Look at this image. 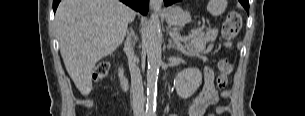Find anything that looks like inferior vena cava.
I'll return each mask as SVG.
<instances>
[{
    "label": "inferior vena cava",
    "instance_id": "inferior-vena-cava-1",
    "mask_svg": "<svg viewBox=\"0 0 305 116\" xmlns=\"http://www.w3.org/2000/svg\"><path fill=\"white\" fill-rule=\"evenodd\" d=\"M134 41L128 35L125 50L128 57L129 70L131 74L133 112L135 116L144 115V90L140 70L137 67V59L133 50Z\"/></svg>",
    "mask_w": 305,
    "mask_h": 116
}]
</instances>
